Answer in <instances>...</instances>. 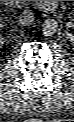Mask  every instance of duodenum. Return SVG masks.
<instances>
[{
	"label": "duodenum",
	"instance_id": "duodenum-1",
	"mask_svg": "<svg viewBox=\"0 0 74 122\" xmlns=\"http://www.w3.org/2000/svg\"><path fill=\"white\" fill-rule=\"evenodd\" d=\"M13 5L24 6V1H9ZM39 8L44 12H50L55 9V1H38Z\"/></svg>",
	"mask_w": 74,
	"mask_h": 122
}]
</instances>
